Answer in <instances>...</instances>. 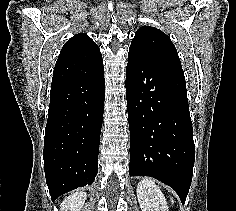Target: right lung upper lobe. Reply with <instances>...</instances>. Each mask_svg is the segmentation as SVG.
<instances>
[{"mask_svg": "<svg viewBox=\"0 0 236 211\" xmlns=\"http://www.w3.org/2000/svg\"><path fill=\"white\" fill-rule=\"evenodd\" d=\"M103 67L97 44L85 33L77 34L63 46L55 64L52 85L81 80L99 73Z\"/></svg>", "mask_w": 236, "mask_h": 211, "instance_id": "1", "label": "right lung upper lobe"}]
</instances>
